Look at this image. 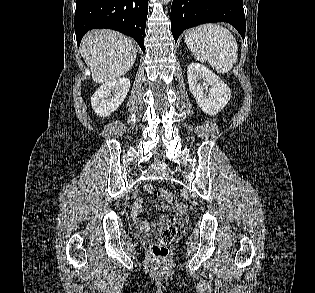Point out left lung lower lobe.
I'll return each instance as SVG.
<instances>
[{"mask_svg":"<svg viewBox=\"0 0 315 293\" xmlns=\"http://www.w3.org/2000/svg\"><path fill=\"white\" fill-rule=\"evenodd\" d=\"M213 22L230 23L244 39L243 0H173L171 29L175 42L184 30Z\"/></svg>","mask_w":315,"mask_h":293,"instance_id":"0a47b994","label":"left lung lower lobe"}]
</instances>
